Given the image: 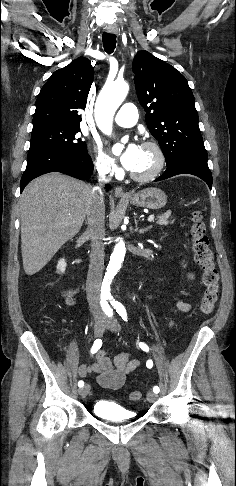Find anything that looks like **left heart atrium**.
I'll use <instances>...</instances> for the list:
<instances>
[{"instance_id":"obj_1","label":"left heart atrium","mask_w":236,"mask_h":486,"mask_svg":"<svg viewBox=\"0 0 236 486\" xmlns=\"http://www.w3.org/2000/svg\"><path fill=\"white\" fill-rule=\"evenodd\" d=\"M140 147L135 143H130L121 155V163L127 170H132L138 160Z\"/></svg>"}]
</instances>
